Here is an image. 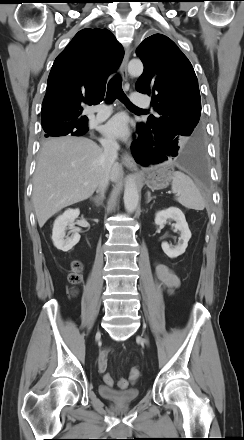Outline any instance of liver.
<instances>
[{"instance_id":"liver-1","label":"liver","mask_w":244,"mask_h":440,"mask_svg":"<svg viewBox=\"0 0 244 440\" xmlns=\"http://www.w3.org/2000/svg\"><path fill=\"white\" fill-rule=\"evenodd\" d=\"M122 167L114 163L117 181ZM103 173V149L85 137L52 138L42 146L33 177L32 202L40 227L61 209L93 195Z\"/></svg>"}]
</instances>
